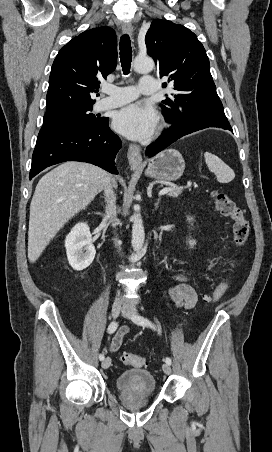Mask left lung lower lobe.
<instances>
[{"label": "left lung lower lobe", "instance_id": "left-lung-lower-lobe-1", "mask_svg": "<svg viewBox=\"0 0 272 452\" xmlns=\"http://www.w3.org/2000/svg\"><path fill=\"white\" fill-rule=\"evenodd\" d=\"M170 128L163 131L160 139L155 143L150 144L146 148V156L153 157L170 144L175 142L177 139L190 134L192 132L208 128V127H218L222 129H226L232 132V128L228 121L224 122H216V123H202L198 125H190V124H177L171 123Z\"/></svg>", "mask_w": 272, "mask_h": 452}]
</instances>
